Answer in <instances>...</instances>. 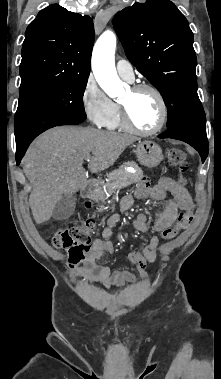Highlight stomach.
Listing matches in <instances>:
<instances>
[{
    "label": "stomach",
    "mask_w": 221,
    "mask_h": 379,
    "mask_svg": "<svg viewBox=\"0 0 221 379\" xmlns=\"http://www.w3.org/2000/svg\"><path fill=\"white\" fill-rule=\"evenodd\" d=\"M138 161L149 168L156 167L163 160L162 149L153 141L139 142L136 148Z\"/></svg>",
    "instance_id": "1"
}]
</instances>
